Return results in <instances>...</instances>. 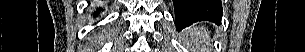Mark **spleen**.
<instances>
[{
  "label": "spleen",
  "mask_w": 305,
  "mask_h": 52,
  "mask_svg": "<svg viewBox=\"0 0 305 52\" xmlns=\"http://www.w3.org/2000/svg\"><path fill=\"white\" fill-rule=\"evenodd\" d=\"M183 35L192 52H211L209 31L204 26L194 24L186 28Z\"/></svg>",
  "instance_id": "obj_1"
}]
</instances>
